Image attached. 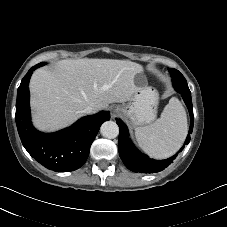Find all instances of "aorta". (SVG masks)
I'll return each mask as SVG.
<instances>
[{
	"label": "aorta",
	"instance_id": "1",
	"mask_svg": "<svg viewBox=\"0 0 227 227\" xmlns=\"http://www.w3.org/2000/svg\"><path fill=\"white\" fill-rule=\"evenodd\" d=\"M100 132L103 137L108 139H114L119 134V127L114 121H106L102 124Z\"/></svg>",
	"mask_w": 227,
	"mask_h": 227
}]
</instances>
